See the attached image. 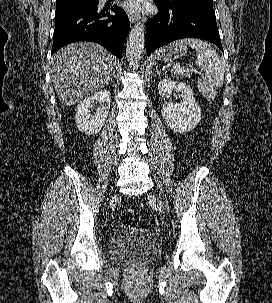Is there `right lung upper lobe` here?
I'll return each instance as SVG.
<instances>
[{
    "label": "right lung upper lobe",
    "instance_id": "right-lung-upper-lobe-1",
    "mask_svg": "<svg viewBox=\"0 0 272 303\" xmlns=\"http://www.w3.org/2000/svg\"><path fill=\"white\" fill-rule=\"evenodd\" d=\"M71 1H76V0H56L57 4L65 3V2H71Z\"/></svg>",
    "mask_w": 272,
    "mask_h": 303
}]
</instances>
